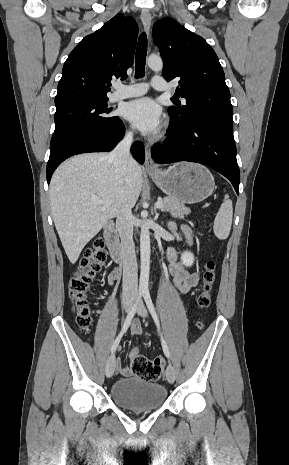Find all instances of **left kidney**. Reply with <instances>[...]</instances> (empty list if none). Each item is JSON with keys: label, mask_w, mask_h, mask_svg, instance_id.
<instances>
[{"label": "left kidney", "mask_w": 289, "mask_h": 465, "mask_svg": "<svg viewBox=\"0 0 289 465\" xmlns=\"http://www.w3.org/2000/svg\"><path fill=\"white\" fill-rule=\"evenodd\" d=\"M181 261L185 266L191 267L193 265V263H194V255H193V253H191L190 251H184L181 254Z\"/></svg>", "instance_id": "5707ae66"}]
</instances>
